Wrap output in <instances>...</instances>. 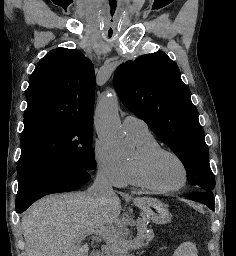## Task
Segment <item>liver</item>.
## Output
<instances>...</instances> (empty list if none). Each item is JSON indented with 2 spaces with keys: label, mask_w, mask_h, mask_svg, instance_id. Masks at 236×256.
<instances>
[{
  "label": "liver",
  "mask_w": 236,
  "mask_h": 256,
  "mask_svg": "<svg viewBox=\"0 0 236 256\" xmlns=\"http://www.w3.org/2000/svg\"><path fill=\"white\" fill-rule=\"evenodd\" d=\"M121 214L116 196L97 200L89 190L76 194H50L35 202L21 220L27 256H88L84 236L113 224Z\"/></svg>",
  "instance_id": "1"
}]
</instances>
